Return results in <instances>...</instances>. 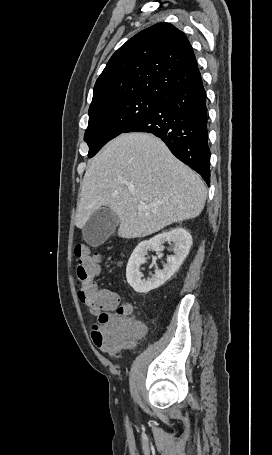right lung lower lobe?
<instances>
[{
  "label": "right lung lower lobe",
  "instance_id": "obj_1",
  "mask_svg": "<svg viewBox=\"0 0 272 455\" xmlns=\"http://www.w3.org/2000/svg\"><path fill=\"white\" fill-rule=\"evenodd\" d=\"M148 132L161 138L171 152L210 184L206 92L202 78L166 96L156 110L123 133Z\"/></svg>",
  "mask_w": 272,
  "mask_h": 455
}]
</instances>
